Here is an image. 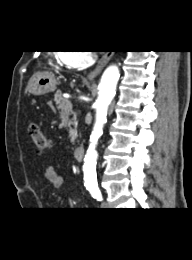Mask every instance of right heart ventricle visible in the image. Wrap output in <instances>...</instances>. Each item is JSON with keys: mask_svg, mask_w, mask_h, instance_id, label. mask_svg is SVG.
<instances>
[{"mask_svg": "<svg viewBox=\"0 0 192 260\" xmlns=\"http://www.w3.org/2000/svg\"><path fill=\"white\" fill-rule=\"evenodd\" d=\"M64 55L65 53H58L57 58L60 59L62 62H64Z\"/></svg>", "mask_w": 192, "mask_h": 260, "instance_id": "1", "label": "right heart ventricle"}]
</instances>
